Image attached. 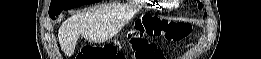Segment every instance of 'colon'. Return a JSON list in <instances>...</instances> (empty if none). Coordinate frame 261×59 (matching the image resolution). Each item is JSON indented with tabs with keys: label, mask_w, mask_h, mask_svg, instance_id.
Wrapping results in <instances>:
<instances>
[{
	"label": "colon",
	"mask_w": 261,
	"mask_h": 59,
	"mask_svg": "<svg viewBox=\"0 0 261 59\" xmlns=\"http://www.w3.org/2000/svg\"><path fill=\"white\" fill-rule=\"evenodd\" d=\"M191 32L188 24L169 22L165 19L145 17L140 27L131 35V44L135 59H162L163 53L148 38L163 37L169 42H178ZM122 55L110 46L85 45L77 54L76 59H120Z\"/></svg>",
	"instance_id": "1"
}]
</instances>
